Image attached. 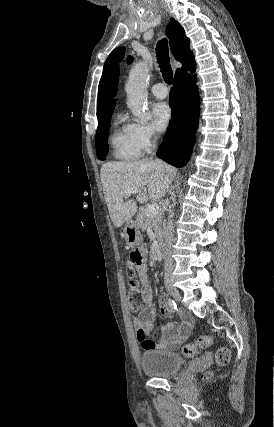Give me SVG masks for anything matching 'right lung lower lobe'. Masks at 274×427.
<instances>
[{"instance_id": "obj_1", "label": "right lung lower lobe", "mask_w": 274, "mask_h": 427, "mask_svg": "<svg viewBox=\"0 0 274 427\" xmlns=\"http://www.w3.org/2000/svg\"><path fill=\"white\" fill-rule=\"evenodd\" d=\"M195 71V63L175 75L169 103L172 118L157 156L167 163L181 168L188 162L195 140L198 124L199 95L192 78L187 72Z\"/></svg>"}]
</instances>
